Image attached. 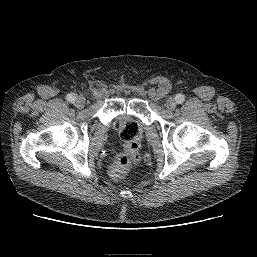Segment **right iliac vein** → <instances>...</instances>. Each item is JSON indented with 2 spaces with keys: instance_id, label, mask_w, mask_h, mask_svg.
<instances>
[{
  "instance_id": "63e3f726",
  "label": "right iliac vein",
  "mask_w": 257,
  "mask_h": 257,
  "mask_svg": "<svg viewBox=\"0 0 257 257\" xmlns=\"http://www.w3.org/2000/svg\"><path fill=\"white\" fill-rule=\"evenodd\" d=\"M85 98L83 96H78L75 100V106L79 109L83 108L85 106Z\"/></svg>"
}]
</instances>
